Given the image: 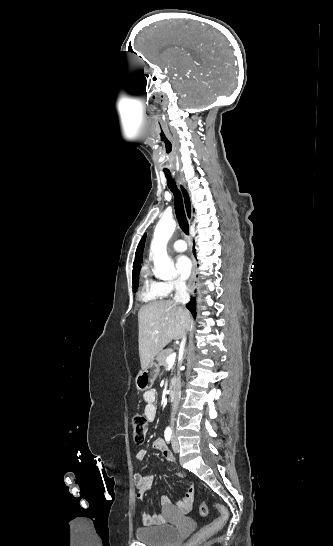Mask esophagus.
Returning a JSON list of instances; mask_svg holds the SVG:
<instances>
[{
  "label": "esophagus",
  "mask_w": 333,
  "mask_h": 546,
  "mask_svg": "<svg viewBox=\"0 0 333 546\" xmlns=\"http://www.w3.org/2000/svg\"><path fill=\"white\" fill-rule=\"evenodd\" d=\"M177 184H178V188H179V190H180V192L182 194L186 214H187V216H190V213H191V210H192V205H191V198H190V195L188 193V190H187V188H186V186H185V184L183 183L182 180L178 179ZM195 281H196V274H195V270H193L192 274H191V277H190V280H189V289H190V291H193Z\"/></svg>",
  "instance_id": "obj_1"
}]
</instances>
